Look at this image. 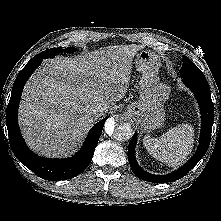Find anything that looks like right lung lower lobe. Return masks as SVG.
<instances>
[{"label":"right lung lower lobe","mask_w":221,"mask_h":221,"mask_svg":"<svg viewBox=\"0 0 221 221\" xmlns=\"http://www.w3.org/2000/svg\"><path fill=\"white\" fill-rule=\"evenodd\" d=\"M42 60L43 58L33 57L19 72L14 82L6 114L10 147L16 158L37 176L50 181L70 179L81 174L90 164L108 117L102 119L90 130L82 149L72 158L47 159L31 152L20 133L17 112L23 87Z\"/></svg>","instance_id":"obj_1"}]
</instances>
